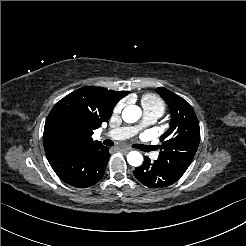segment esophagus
Instances as JSON below:
<instances>
[{
	"instance_id": "obj_1",
	"label": "esophagus",
	"mask_w": 246,
	"mask_h": 246,
	"mask_svg": "<svg viewBox=\"0 0 246 246\" xmlns=\"http://www.w3.org/2000/svg\"><path fill=\"white\" fill-rule=\"evenodd\" d=\"M117 150L119 152L128 153L129 151H131V148L119 147V148H117Z\"/></svg>"
}]
</instances>
